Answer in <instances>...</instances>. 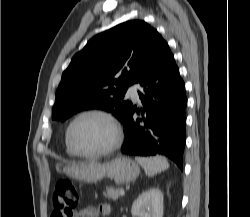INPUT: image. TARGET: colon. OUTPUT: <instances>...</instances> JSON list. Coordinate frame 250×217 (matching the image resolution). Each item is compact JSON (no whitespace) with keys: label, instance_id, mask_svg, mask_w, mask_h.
Masks as SVG:
<instances>
[{"label":"colon","instance_id":"1","mask_svg":"<svg viewBox=\"0 0 250 217\" xmlns=\"http://www.w3.org/2000/svg\"><path fill=\"white\" fill-rule=\"evenodd\" d=\"M78 205V193L68 178L59 179L52 195V217H72Z\"/></svg>","mask_w":250,"mask_h":217}]
</instances>
